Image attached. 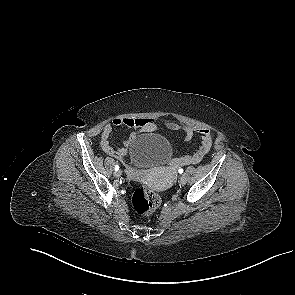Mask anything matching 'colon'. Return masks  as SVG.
Returning <instances> with one entry per match:
<instances>
[{
	"label": "colon",
	"instance_id": "1",
	"mask_svg": "<svg viewBox=\"0 0 295 295\" xmlns=\"http://www.w3.org/2000/svg\"><path fill=\"white\" fill-rule=\"evenodd\" d=\"M160 196L149 188H138L133 192L132 205L137 214L148 217L159 207Z\"/></svg>",
	"mask_w": 295,
	"mask_h": 295
}]
</instances>
